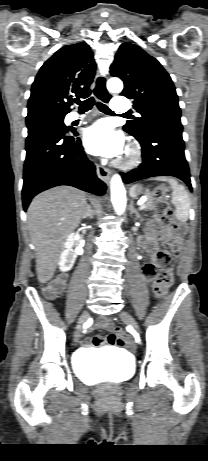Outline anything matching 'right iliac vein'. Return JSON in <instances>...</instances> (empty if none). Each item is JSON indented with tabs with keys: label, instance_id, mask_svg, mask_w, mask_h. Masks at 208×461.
<instances>
[{
	"label": "right iliac vein",
	"instance_id": "right-iliac-vein-1",
	"mask_svg": "<svg viewBox=\"0 0 208 461\" xmlns=\"http://www.w3.org/2000/svg\"><path fill=\"white\" fill-rule=\"evenodd\" d=\"M88 316H89L88 312L85 311L80 318V324L84 323L88 319ZM80 337H81V332H80V329H78L77 332L75 333L74 342L78 343L80 340Z\"/></svg>",
	"mask_w": 208,
	"mask_h": 461
}]
</instances>
